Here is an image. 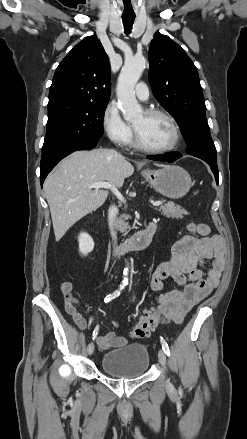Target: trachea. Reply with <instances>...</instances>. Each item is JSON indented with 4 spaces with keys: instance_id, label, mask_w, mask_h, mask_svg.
Returning a JSON list of instances; mask_svg holds the SVG:
<instances>
[{
    "instance_id": "3493384b",
    "label": "trachea",
    "mask_w": 247,
    "mask_h": 439,
    "mask_svg": "<svg viewBox=\"0 0 247 439\" xmlns=\"http://www.w3.org/2000/svg\"><path fill=\"white\" fill-rule=\"evenodd\" d=\"M122 20H123L125 33L129 34L131 32L132 25H133L134 20H135V16H123Z\"/></svg>"
}]
</instances>
